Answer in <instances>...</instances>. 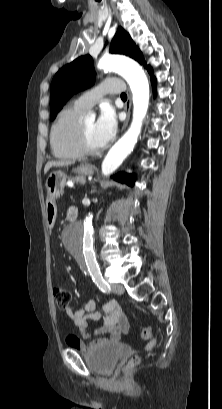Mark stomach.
<instances>
[{
  "instance_id": "1",
  "label": "stomach",
  "mask_w": 222,
  "mask_h": 409,
  "mask_svg": "<svg viewBox=\"0 0 222 409\" xmlns=\"http://www.w3.org/2000/svg\"><path fill=\"white\" fill-rule=\"evenodd\" d=\"M76 173L86 176L93 174L92 166L88 164H82L74 170ZM67 180V175L63 171H53L46 179V221L49 227H53L56 217H57V205L56 199L62 195L65 184Z\"/></svg>"
}]
</instances>
